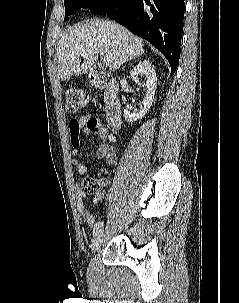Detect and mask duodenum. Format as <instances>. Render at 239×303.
I'll list each match as a JSON object with an SVG mask.
<instances>
[{
    "label": "duodenum",
    "instance_id": "1",
    "mask_svg": "<svg viewBox=\"0 0 239 303\" xmlns=\"http://www.w3.org/2000/svg\"><path fill=\"white\" fill-rule=\"evenodd\" d=\"M91 80L97 87L104 90L105 115L109 126L117 130L121 126V104L118 97L119 84L115 79L104 80L96 72L91 75Z\"/></svg>",
    "mask_w": 239,
    "mask_h": 303
}]
</instances>
